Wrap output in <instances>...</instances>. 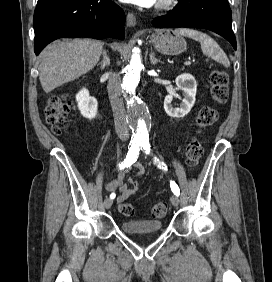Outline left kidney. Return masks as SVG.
Listing matches in <instances>:
<instances>
[{
    "label": "left kidney",
    "instance_id": "left-kidney-1",
    "mask_svg": "<svg viewBox=\"0 0 272 282\" xmlns=\"http://www.w3.org/2000/svg\"><path fill=\"white\" fill-rule=\"evenodd\" d=\"M175 82L177 89L183 92L184 98L182 99V103L179 108H175L172 105V99L173 96L178 97V95L171 92L164 99V109L170 117L183 118L190 112L195 103L197 84L195 78L189 73L179 75Z\"/></svg>",
    "mask_w": 272,
    "mask_h": 282
}]
</instances>
